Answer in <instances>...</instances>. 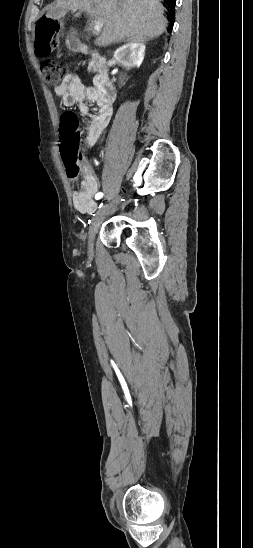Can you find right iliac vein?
<instances>
[{
  "label": "right iliac vein",
  "instance_id": "1",
  "mask_svg": "<svg viewBox=\"0 0 253 548\" xmlns=\"http://www.w3.org/2000/svg\"><path fill=\"white\" fill-rule=\"evenodd\" d=\"M119 204V200H116L112 203L106 204L96 213L95 217L92 219V223L89 227V240H88V255L93 256V238L96 235L100 224L102 223L104 217L114 211Z\"/></svg>",
  "mask_w": 253,
  "mask_h": 548
}]
</instances>
